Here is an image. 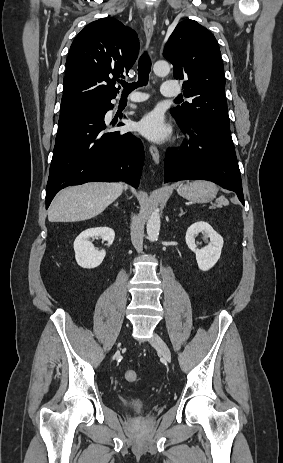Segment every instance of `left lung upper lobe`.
<instances>
[{
    "instance_id": "obj_1",
    "label": "left lung upper lobe",
    "mask_w": 283,
    "mask_h": 463,
    "mask_svg": "<svg viewBox=\"0 0 283 463\" xmlns=\"http://www.w3.org/2000/svg\"><path fill=\"white\" fill-rule=\"evenodd\" d=\"M163 55L173 64L174 77L186 80L183 93L192 99L171 109L176 120L230 131L224 66L214 35L196 21L184 20L170 35Z\"/></svg>"
}]
</instances>
